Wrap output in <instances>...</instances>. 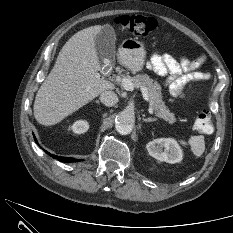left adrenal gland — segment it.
Instances as JSON below:
<instances>
[{
	"instance_id": "left-adrenal-gland-1",
	"label": "left adrenal gland",
	"mask_w": 233,
	"mask_h": 233,
	"mask_svg": "<svg viewBox=\"0 0 233 233\" xmlns=\"http://www.w3.org/2000/svg\"><path fill=\"white\" fill-rule=\"evenodd\" d=\"M142 120L147 123V122H154V121H156V118H150V117L149 118H144L143 117Z\"/></svg>"
}]
</instances>
